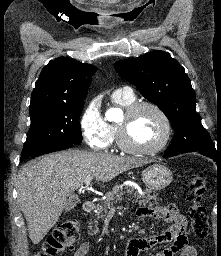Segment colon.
I'll return each mask as SVG.
<instances>
[{"label": "colon", "mask_w": 221, "mask_h": 256, "mask_svg": "<svg viewBox=\"0 0 221 256\" xmlns=\"http://www.w3.org/2000/svg\"><path fill=\"white\" fill-rule=\"evenodd\" d=\"M191 194L190 220L194 235L204 240L209 234V221L207 208L203 203L206 191V181L201 175H193L187 183ZM79 239L78 221L66 219L57 225L43 243L42 249L34 256H59L71 250Z\"/></svg>", "instance_id": "5ec220e1"}]
</instances>
